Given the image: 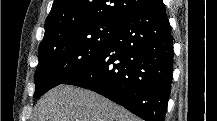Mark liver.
<instances>
[{
  "label": "liver",
  "mask_w": 217,
  "mask_h": 121,
  "mask_svg": "<svg viewBox=\"0 0 217 121\" xmlns=\"http://www.w3.org/2000/svg\"><path fill=\"white\" fill-rule=\"evenodd\" d=\"M34 121H139L105 97L80 87L60 85L37 103Z\"/></svg>",
  "instance_id": "1"
}]
</instances>
